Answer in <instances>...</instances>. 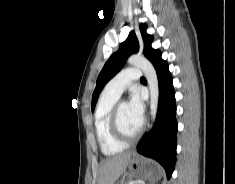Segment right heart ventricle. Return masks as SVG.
Instances as JSON below:
<instances>
[{
    "instance_id": "right-heart-ventricle-1",
    "label": "right heart ventricle",
    "mask_w": 235,
    "mask_h": 184,
    "mask_svg": "<svg viewBox=\"0 0 235 184\" xmlns=\"http://www.w3.org/2000/svg\"><path fill=\"white\" fill-rule=\"evenodd\" d=\"M117 98L103 93L100 97L93 116L94 131L102 152L107 155H115L122 152L126 145L117 139L110 127L111 111Z\"/></svg>"
}]
</instances>
